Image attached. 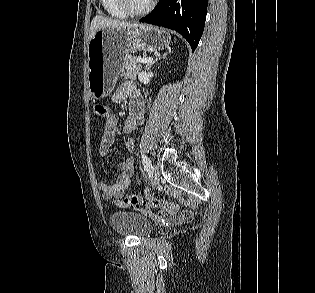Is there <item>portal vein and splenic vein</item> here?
Listing matches in <instances>:
<instances>
[{
  "label": "portal vein and splenic vein",
  "mask_w": 315,
  "mask_h": 293,
  "mask_svg": "<svg viewBox=\"0 0 315 293\" xmlns=\"http://www.w3.org/2000/svg\"><path fill=\"white\" fill-rule=\"evenodd\" d=\"M136 61L137 62H140V63H151L153 61V59L151 57H147V58H136Z\"/></svg>",
  "instance_id": "1"
}]
</instances>
